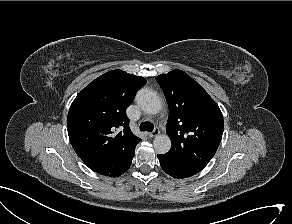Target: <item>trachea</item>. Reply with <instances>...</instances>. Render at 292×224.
Segmentation results:
<instances>
[{
	"label": "trachea",
	"mask_w": 292,
	"mask_h": 224,
	"mask_svg": "<svg viewBox=\"0 0 292 224\" xmlns=\"http://www.w3.org/2000/svg\"><path fill=\"white\" fill-rule=\"evenodd\" d=\"M140 130L141 131H153L154 125L150 122H143L140 124Z\"/></svg>",
	"instance_id": "obj_1"
}]
</instances>
